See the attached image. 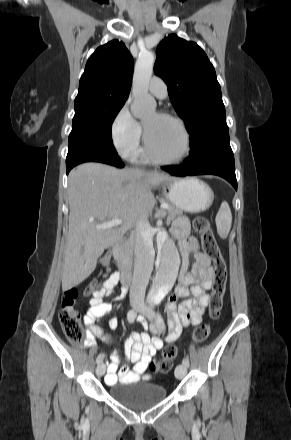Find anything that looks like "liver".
Wrapping results in <instances>:
<instances>
[{
    "label": "liver",
    "mask_w": 291,
    "mask_h": 440,
    "mask_svg": "<svg viewBox=\"0 0 291 440\" xmlns=\"http://www.w3.org/2000/svg\"><path fill=\"white\" fill-rule=\"evenodd\" d=\"M173 179L164 173L119 170L101 163H84L70 172L63 291L87 279L104 250L117 243L138 220L147 219L155 205L152 190ZM113 219L123 223L116 228H97Z\"/></svg>",
    "instance_id": "1"
}]
</instances>
